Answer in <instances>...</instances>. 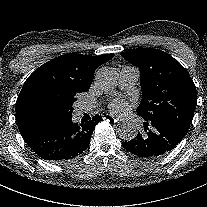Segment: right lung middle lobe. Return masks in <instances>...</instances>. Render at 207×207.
I'll return each mask as SVG.
<instances>
[{
    "label": "right lung middle lobe",
    "instance_id": "1",
    "mask_svg": "<svg viewBox=\"0 0 207 207\" xmlns=\"http://www.w3.org/2000/svg\"><path fill=\"white\" fill-rule=\"evenodd\" d=\"M57 111L59 112L61 119H63L72 116L73 108H70L68 110H57Z\"/></svg>",
    "mask_w": 207,
    "mask_h": 207
}]
</instances>
